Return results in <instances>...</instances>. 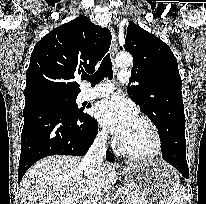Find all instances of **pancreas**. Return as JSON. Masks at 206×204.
<instances>
[{
	"label": "pancreas",
	"instance_id": "cf45deb5",
	"mask_svg": "<svg viewBox=\"0 0 206 204\" xmlns=\"http://www.w3.org/2000/svg\"><path fill=\"white\" fill-rule=\"evenodd\" d=\"M127 189L130 190V193L126 197L127 204H152L141 198L130 186H127Z\"/></svg>",
	"mask_w": 206,
	"mask_h": 204
}]
</instances>
